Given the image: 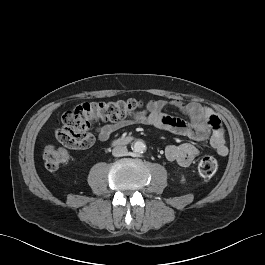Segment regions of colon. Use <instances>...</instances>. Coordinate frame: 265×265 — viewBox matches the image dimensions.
Returning <instances> with one entry per match:
<instances>
[{"label":"colon","instance_id":"colon-1","mask_svg":"<svg viewBox=\"0 0 265 265\" xmlns=\"http://www.w3.org/2000/svg\"><path fill=\"white\" fill-rule=\"evenodd\" d=\"M141 108L142 102L137 99L80 104L63 114L62 123L55 131V136L66 146H84L91 138L90 128L95 121L116 123L135 116ZM210 123L214 129H220V122L215 117ZM43 159L49 171H56L68 162L69 153L64 148L48 145L44 148ZM217 169L218 161L213 154H205L200 158L198 170L202 176L210 177Z\"/></svg>","mask_w":265,"mask_h":265}]
</instances>
